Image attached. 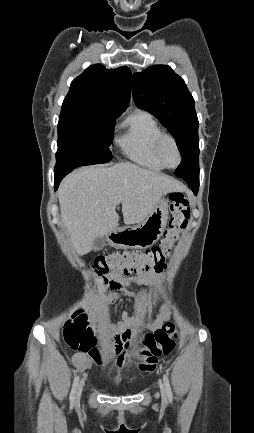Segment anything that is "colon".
I'll return each mask as SVG.
<instances>
[{
    "label": "colon",
    "mask_w": 254,
    "mask_h": 433,
    "mask_svg": "<svg viewBox=\"0 0 254 433\" xmlns=\"http://www.w3.org/2000/svg\"><path fill=\"white\" fill-rule=\"evenodd\" d=\"M169 200L171 216L159 245L144 251H112L94 260L93 270L105 284L111 282L108 276L114 278L137 273L153 274L163 269L182 232L187 228L190 217V201L184 194L171 193ZM177 336L175 324L171 321H166L158 329L147 333L138 350L139 369L143 372L154 371L159 357L173 351ZM63 337L67 346L73 350L89 355L96 352L93 331L88 316L84 313H77L67 322Z\"/></svg>",
    "instance_id": "colon-1"
}]
</instances>
